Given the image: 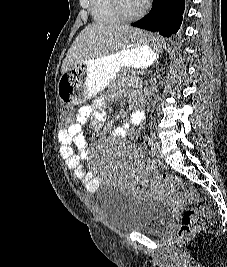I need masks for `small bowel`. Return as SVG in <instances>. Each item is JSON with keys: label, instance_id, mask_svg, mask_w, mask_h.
<instances>
[{"label": "small bowel", "instance_id": "obj_1", "mask_svg": "<svg viewBox=\"0 0 227 267\" xmlns=\"http://www.w3.org/2000/svg\"><path fill=\"white\" fill-rule=\"evenodd\" d=\"M103 102L96 105H85L78 109L72 125L58 132L57 140L60 144V153L67 166L73 170L75 176L83 183L87 192L94 193L99 185L98 179L88 171L82 159L88 155V145L83 135L82 127L89 122L93 127L99 128L104 119L100 109ZM144 116L141 113L132 114L116 136H124L128 130L138 131L142 128Z\"/></svg>", "mask_w": 227, "mask_h": 267}]
</instances>
